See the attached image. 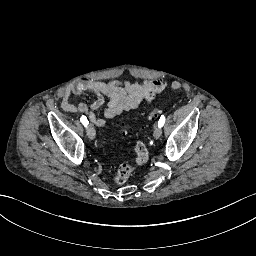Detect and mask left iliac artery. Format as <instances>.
Listing matches in <instances>:
<instances>
[{"label": "left iliac artery", "instance_id": "1", "mask_svg": "<svg viewBox=\"0 0 256 256\" xmlns=\"http://www.w3.org/2000/svg\"><path fill=\"white\" fill-rule=\"evenodd\" d=\"M165 123V117L162 115L158 121V126L161 128Z\"/></svg>", "mask_w": 256, "mask_h": 256}]
</instances>
